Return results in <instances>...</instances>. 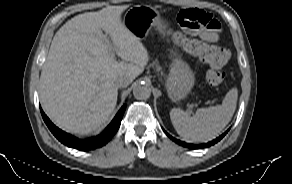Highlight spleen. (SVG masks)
Listing matches in <instances>:
<instances>
[{
  "instance_id": "obj_1",
  "label": "spleen",
  "mask_w": 292,
  "mask_h": 184,
  "mask_svg": "<svg viewBox=\"0 0 292 184\" xmlns=\"http://www.w3.org/2000/svg\"><path fill=\"white\" fill-rule=\"evenodd\" d=\"M238 91L232 88L222 105L197 109L192 116L179 108L170 111L172 124L187 142H206L214 139L230 122L237 103Z\"/></svg>"
}]
</instances>
